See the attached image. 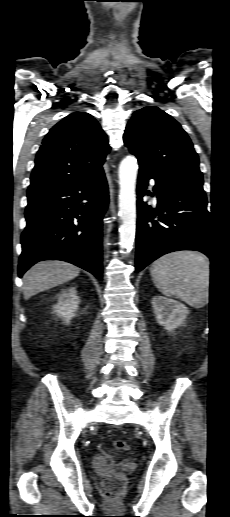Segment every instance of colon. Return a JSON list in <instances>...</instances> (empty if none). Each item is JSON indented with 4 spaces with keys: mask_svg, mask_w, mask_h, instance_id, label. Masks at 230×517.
I'll return each mask as SVG.
<instances>
[{
    "mask_svg": "<svg viewBox=\"0 0 230 517\" xmlns=\"http://www.w3.org/2000/svg\"><path fill=\"white\" fill-rule=\"evenodd\" d=\"M113 445L116 449L121 451H127L129 449L127 442L121 439L114 440ZM124 485L125 477L123 475L119 474L108 478L103 484L104 496L113 501L119 499Z\"/></svg>",
    "mask_w": 230,
    "mask_h": 517,
    "instance_id": "5ec220e1",
    "label": "colon"
}]
</instances>
